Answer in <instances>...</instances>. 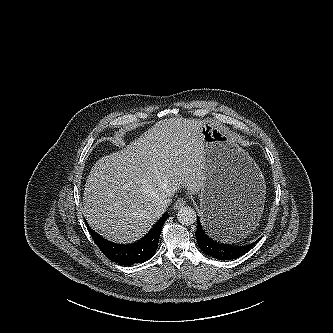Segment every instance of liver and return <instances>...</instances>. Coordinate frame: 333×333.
<instances>
[{"label": "liver", "instance_id": "liver-1", "mask_svg": "<svg viewBox=\"0 0 333 333\" xmlns=\"http://www.w3.org/2000/svg\"><path fill=\"white\" fill-rule=\"evenodd\" d=\"M204 121L173 117L157 122L121 151L92 167L83 194V215L103 237L131 243L161 217L162 198L180 188L199 193L205 181Z\"/></svg>", "mask_w": 333, "mask_h": 333}]
</instances>
